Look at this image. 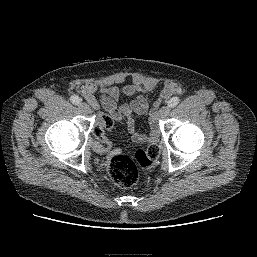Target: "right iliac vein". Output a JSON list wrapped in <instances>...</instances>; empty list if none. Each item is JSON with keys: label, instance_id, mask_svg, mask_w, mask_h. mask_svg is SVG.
Listing matches in <instances>:
<instances>
[{"label": "right iliac vein", "instance_id": "63e3f726", "mask_svg": "<svg viewBox=\"0 0 257 257\" xmlns=\"http://www.w3.org/2000/svg\"><path fill=\"white\" fill-rule=\"evenodd\" d=\"M78 106H79V109H80L83 113H85V114H88V113H90V111H91V109H90V107H89V105H88L87 103L82 102V103H80Z\"/></svg>", "mask_w": 257, "mask_h": 257}]
</instances>
